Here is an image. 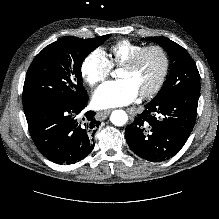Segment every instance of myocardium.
<instances>
[{
    "label": "myocardium",
    "instance_id": "obj_1",
    "mask_svg": "<svg viewBox=\"0 0 219 219\" xmlns=\"http://www.w3.org/2000/svg\"><path fill=\"white\" fill-rule=\"evenodd\" d=\"M150 51H157L161 55L163 65L161 73L154 85L147 90L139 92V95L143 98L154 96L166 82L170 70V58L166 49L161 45L144 46L120 66L121 68L132 69L138 64L143 55Z\"/></svg>",
    "mask_w": 219,
    "mask_h": 219
}]
</instances>
